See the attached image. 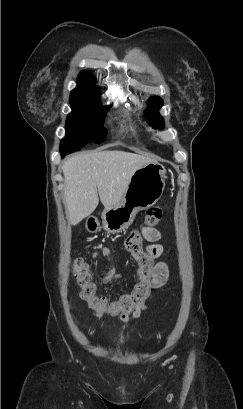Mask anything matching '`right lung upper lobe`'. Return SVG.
Here are the masks:
<instances>
[{"label":"right lung upper lobe","mask_w":243,"mask_h":409,"mask_svg":"<svg viewBox=\"0 0 243 409\" xmlns=\"http://www.w3.org/2000/svg\"><path fill=\"white\" fill-rule=\"evenodd\" d=\"M95 78L88 71L80 72L77 84L70 94L71 102L100 101L99 87L96 86Z\"/></svg>","instance_id":"1"}]
</instances>
